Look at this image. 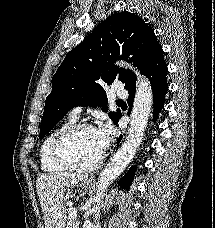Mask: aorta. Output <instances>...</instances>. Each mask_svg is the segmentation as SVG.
<instances>
[{"instance_id": "aorta-1", "label": "aorta", "mask_w": 215, "mask_h": 228, "mask_svg": "<svg viewBox=\"0 0 215 228\" xmlns=\"http://www.w3.org/2000/svg\"><path fill=\"white\" fill-rule=\"evenodd\" d=\"M116 66L134 70V74H136L137 78L136 92L128 136L121 148H119L117 154L113 156L112 160H110L109 164H107L106 168L101 172V176H99L98 190L93 200L94 228H101L99 224V212L101 200L104 198V192H106L108 186L126 170L128 164H130L132 158H134L136 150L141 144L142 136L146 130L148 118L153 106V92L149 80H147L145 76H142L140 72H137L135 68H132L130 64H127V62H116Z\"/></svg>"}]
</instances>
